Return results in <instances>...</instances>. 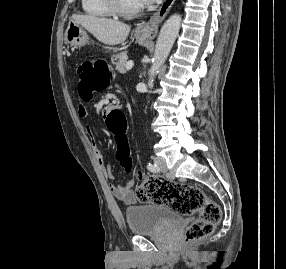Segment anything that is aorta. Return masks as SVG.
<instances>
[{"label":"aorta","instance_id":"aorta-1","mask_svg":"<svg viewBox=\"0 0 286 269\" xmlns=\"http://www.w3.org/2000/svg\"><path fill=\"white\" fill-rule=\"evenodd\" d=\"M181 25V16L174 14L170 16L162 26L154 52V59L149 70V82H152L160 67L167 59L171 48L178 36Z\"/></svg>","mask_w":286,"mask_h":269}]
</instances>
